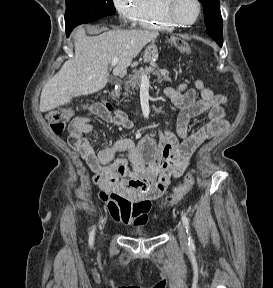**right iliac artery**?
<instances>
[{"label": "right iliac artery", "mask_w": 273, "mask_h": 288, "mask_svg": "<svg viewBox=\"0 0 273 288\" xmlns=\"http://www.w3.org/2000/svg\"><path fill=\"white\" fill-rule=\"evenodd\" d=\"M94 235H95V228H93V230L91 231V233L89 235V244H90L91 247L93 245Z\"/></svg>", "instance_id": "1"}]
</instances>
